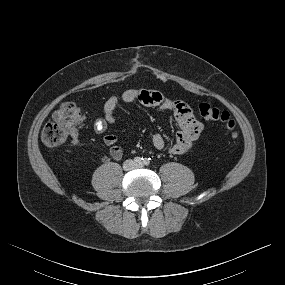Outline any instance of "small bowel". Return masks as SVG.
I'll use <instances>...</instances> for the list:
<instances>
[{"instance_id":"1","label":"small bowel","mask_w":285,"mask_h":285,"mask_svg":"<svg viewBox=\"0 0 285 285\" xmlns=\"http://www.w3.org/2000/svg\"><path fill=\"white\" fill-rule=\"evenodd\" d=\"M139 102L145 106L169 110L174 114L180 130L177 132L174 141L168 144L160 133H154L151 137L153 146L156 149L167 151L173 155L186 153L201 135L203 124L198 121L191 108L181 102L165 98L160 92L147 89H128L121 94L113 95L107 99L103 106V116L94 123V130L97 134H104L103 142L110 147V155L114 160H120L123 150L118 145V139L114 134H105L108 125L115 122V110L120 103ZM71 143L78 146L80 143L78 132L71 135Z\"/></svg>"}]
</instances>
